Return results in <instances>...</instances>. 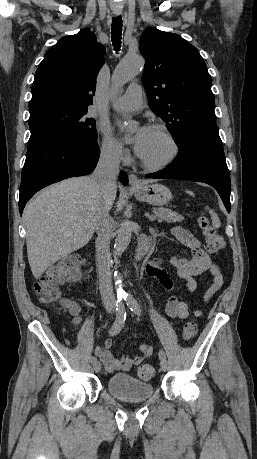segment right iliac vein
I'll use <instances>...</instances> for the list:
<instances>
[{
	"instance_id": "63e3f726",
	"label": "right iliac vein",
	"mask_w": 257,
	"mask_h": 459,
	"mask_svg": "<svg viewBox=\"0 0 257 459\" xmlns=\"http://www.w3.org/2000/svg\"><path fill=\"white\" fill-rule=\"evenodd\" d=\"M93 369H94V371L97 372V373L100 372V370H101V364H100V362H95V363H93Z\"/></svg>"
}]
</instances>
